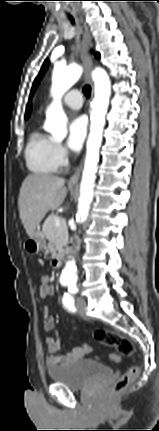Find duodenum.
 Returning <instances> with one entry per match:
<instances>
[{
	"instance_id": "obj_1",
	"label": "duodenum",
	"mask_w": 159,
	"mask_h": 431,
	"mask_svg": "<svg viewBox=\"0 0 159 431\" xmlns=\"http://www.w3.org/2000/svg\"><path fill=\"white\" fill-rule=\"evenodd\" d=\"M72 247H75V244H73ZM67 253H68V251H64L61 253H57L53 257L52 265L54 268H59L63 264Z\"/></svg>"
}]
</instances>
